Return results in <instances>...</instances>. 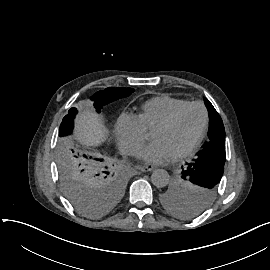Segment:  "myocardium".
<instances>
[{
	"label": "myocardium",
	"instance_id": "obj_1",
	"mask_svg": "<svg viewBox=\"0 0 270 270\" xmlns=\"http://www.w3.org/2000/svg\"><path fill=\"white\" fill-rule=\"evenodd\" d=\"M192 107H198L202 111L203 120H202L201 129H200V132H199L197 138L195 139V141L188 148H186L185 150H183L181 153H179L177 155L178 159L187 157L188 155L195 152L198 149V147L200 146V144L205 136L207 125H208V112H207L206 107L200 102L187 103L186 105H184L183 107H181L180 109L175 111L169 118L158 123L155 126V128H170V127L174 126L177 123V121L179 120V118L181 117V115L186 110H188L189 108H192Z\"/></svg>",
	"mask_w": 270,
	"mask_h": 270
}]
</instances>
